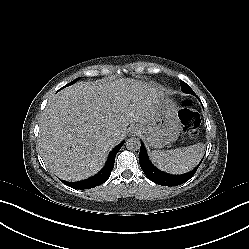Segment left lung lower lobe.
I'll return each instance as SVG.
<instances>
[{
  "label": "left lung lower lobe",
  "mask_w": 249,
  "mask_h": 249,
  "mask_svg": "<svg viewBox=\"0 0 249 249\" xmlns=\"http://www.w3.org/2000/svg\"><path fill=\"white\" fill-rule=\"evenodd\" d=\"M139 162L145 175L152 182L159 184V185H163V186H175V185L182 184L183 181L186 182L189 178H191L196 171L195 169L192 172L185 174V175H181V176H172V175L159 171L148 160V156L146 154L144 145L142 143H141V148H140V153H139ZM180 178H182V180L176 183L175 182L176 179H180Z\"/></svg>",
  "instance_id": "obj_1"
}]
</instances>
